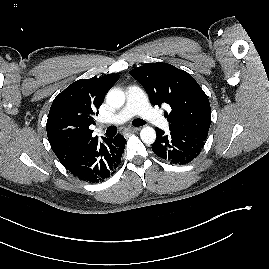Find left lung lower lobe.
Returning <instances> with one entry per match:
<instances>
[{"label":"left lung lower lobe","mask_w":269,"mask_h":269,"mask_svg":"<svg viewBox=\"0 0 269 269\" xmlns=\"http://www.w3.org/2000/svg\"><path fill=\"white\" fill-rule=\"evenodd\" d=\"M157 139L152 145L153 152L160 158L169 161L171 164L183 165L196 158L201 152L208 131L170 130L168 135L159 128H156Z\"/></svg>","instance_id":"obj_1"}]
</instances>
